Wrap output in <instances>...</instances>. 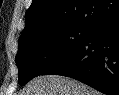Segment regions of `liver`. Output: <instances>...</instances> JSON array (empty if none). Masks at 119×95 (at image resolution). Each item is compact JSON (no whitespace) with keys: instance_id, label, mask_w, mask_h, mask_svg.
<instances>
[{"instance_id":"obj_1","label":"liver","mask_w":119,"mask_h":95,"mask_svg":"<svg viewBox=\"0 0 119 95\" xmlns=\"http://www.w3.org/2000/svg\"><path fill=\"white\" fill-rule=\"evenodd\" d=\"M19 95H102L74 79L59 75L38 76Z\"/></svg>"}]
</instances>
